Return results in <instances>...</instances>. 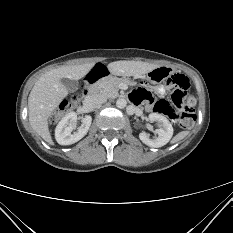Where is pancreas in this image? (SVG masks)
Masks as SVG:
<instances>
[{
  "label": "pancreas",
  "mask_w": 233,
  "mask_h": 233,
  "mask_svg": "<svg viewBox=\"0 0 233 233\" xmlns=\"http://www.w3.org/2000/svg\"><path fill=\"white\" fill-rule=\"evenodd\" d=\"M123 82L122 79H102L98 84L100 87V92L103 93L108 98H114L118 94L119 84Z\"/></svg>",
  "instance_id": "obj_1"
}]
</instances>
